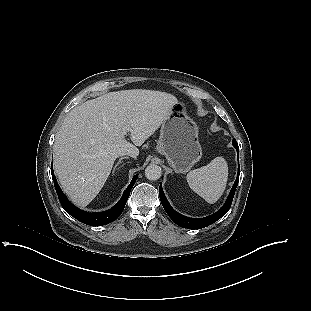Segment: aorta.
Listing matches in <instances>:
<instances>
[{"mask_svg":"<svg viewBox=\"0 0 311 311\" xmlns=\"http://www.w3.org/2000/svg\"><path fill=\"white\" fill-rule=\"evenodd\" d=\"M161 167L155 164H150L145 169V177L148 180L156 181L161 177Z\"/></svg>","mask_w":311,"mask_h":311,"instance_id":"aorta-1","label":"aorta"}]
</instances>
